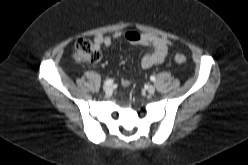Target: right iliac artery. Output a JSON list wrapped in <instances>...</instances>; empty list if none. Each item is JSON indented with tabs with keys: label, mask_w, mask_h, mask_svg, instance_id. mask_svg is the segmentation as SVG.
<instances>
[{
	"label": "right iliac artery",
	"mask_w": 248,
	"mask_h": 165,
	"mask_svg": "<svg viewBox=\"0 0 248 165\" xmlns=\"http://www.w3.org/2000/svg\"><path fill=\"white\" fill-rule=\"evenodd\" d=\"M113 83V79H107L104 81V84L105 85H109V84H112Z\"/></svg>",
	"instance_id": "1"
}]
</instances>
